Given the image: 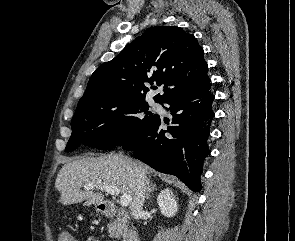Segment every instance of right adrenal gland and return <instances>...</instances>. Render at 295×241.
Segmentation results:
<instances>
[{
  "instance_id": "obj_1",
  "label": "right adrenal gland",
  "mask_w": 295,
  "mask_h": 241,
  "mask_svg": "<svg viewBox=\"0 0 295 241\" xmlns=\"http://www.w3.org/2000/svg\"><path fill=\"white\" fill-rule=\"evenodd\" d=\"M151 176L147 179L146 184H147V190H146V199L149 200L151 197V192L156 189V185L153 184V182L150 180Z\"/></svg>"
}]
</instances>
